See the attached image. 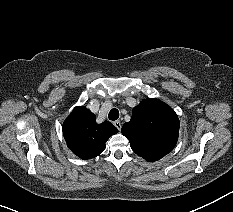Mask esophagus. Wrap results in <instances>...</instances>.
Listing matches in <instances>:
<instances>
[{"mask_svg": "<svg viewBox=\"0 0 233 212\" xmlns=\"http://www.w3.org/2000/svg\"><path fill=\"white\" fill-rule=\"evenodd\" d=\"M114 126L120 131L121 130V122L119 120H116L113 122Z\"/></svg>", "mask_w": 233, "mask_h": 212, "instance_id": "obj_1", "label": "esophagus"}]
</instances>
